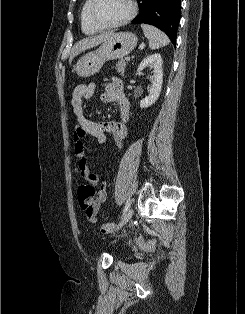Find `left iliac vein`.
Returning a JSON list of instances; mask_svg holds the SVG:
<instances>
[{
    "label": "left iliac vein",
    "mask_w": 245,
    "mask_h": 314,
    "mask_svg": "<svg viewBox=\"0 0 245 314\" xmlns=\"http://www.w3.org/2000/svg\"><path fill=\"white\" fill-rule=\"evenodd\" d=\"M132 214H133V210L131 207H129L127 211L124 213V215L122 216V220L119 224V228H122L124 225H126V223L131 219Z\"/></svg>",
    "instance_id": "left-iliac-vein-1"
}]
</instances>
